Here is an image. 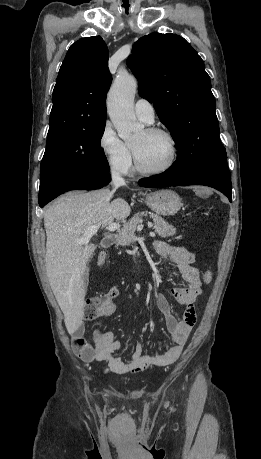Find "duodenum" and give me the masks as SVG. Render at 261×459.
<instances>
[{
  "mask_svg": "<svg viewBox=\"0 0 261 459\" xmlns=\"http://www.w3.org/2000/svg\"><path fill=\"white\" fill-rule=\"evenodd\" d=\"M115 241H116V235L115 234H108L102 239V246L104 248H108L111 245H113Z\"/></svg>",
  "mask_w": 261,
  "mask_h": 459,
  "instance_id": "duodenum-1",
  "label": "duodenum"
}]
</instances>
